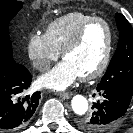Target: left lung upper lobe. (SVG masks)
I'll return each instance as SVG.
<instances>
[{
    "instance_id": "obj_1",
    "label": "left lung upper lobe",
    "mask_w": 133,
    "mask_h": 133,
    "mask_svg": "<svg viewBox=\"0 0 133 133\" xmlns=\"http://www.w3.org/2000/svg\"><path fill=\"white\" fill-rule=\"evenodd\" d=\"M115 18L119 30V43L105 75L97 85V91L113 88L133 94V29L122 14L117 13ZM89 117L90 115L81 117L78 122V126L85 131L94 129L88 123Z\"/></svg>"
}]
</instances>
